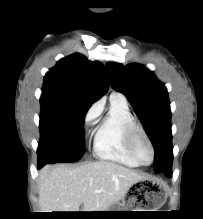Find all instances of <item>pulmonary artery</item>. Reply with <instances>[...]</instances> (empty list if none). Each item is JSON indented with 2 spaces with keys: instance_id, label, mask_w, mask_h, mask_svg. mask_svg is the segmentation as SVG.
I'll use <instances>...</instances> for the list:
<instances>
[{
  "instance_id": "1",
  "label": "pulmonary artery",
  "mask_w": 203,
  "mask_h": 219,
  "mask_svg": "<svg viewBox=\"0 0 203 219\" xmlns=\"http://www.w3.org/2000/svg\"><path fill=\"white\" fill-rule=\"evenodd\" d=\"M111 99L120 101L122 103H127L126 97L122 93H119V92H113L111 94Z\"/></svg>"
}]
</instances>
